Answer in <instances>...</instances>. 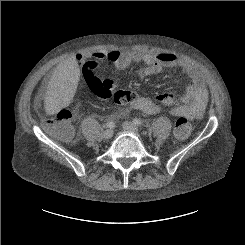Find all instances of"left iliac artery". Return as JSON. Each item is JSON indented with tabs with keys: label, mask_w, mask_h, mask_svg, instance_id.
<instances>
[{
	"label": "left iliac artery",
	"mask_w": 245,
	"mask_h": 245,
	"mask_svg": "<svg viewBox=\"0 0 245 245\" xmlns=\"http://www.w3.org/2000/svg\"><path fill=\"white\" fill-rule=\"evenodd\" d=\"M133 123L137 126H142V124H143L142 121L140 119H137V118L133 119Z\"/></svg>",
	"instance_id": "44dca946"
}]
</instances>
